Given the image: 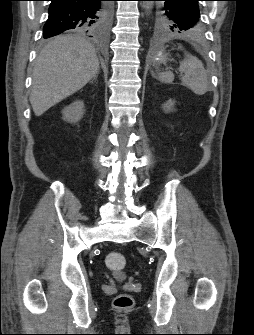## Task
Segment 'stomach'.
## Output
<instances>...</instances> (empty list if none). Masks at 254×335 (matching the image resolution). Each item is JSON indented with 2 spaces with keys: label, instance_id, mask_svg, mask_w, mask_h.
Listing matches in <instances>:
<instances>
[{
  "label": "stomach",
  "instance_id": "obj_1",
  "mask_svg": "<svg viewBox=\"0 0 254 335\" xmlns=\"http://www.w3.org/2000/svg\"><path fill=\"white\" fill-rule=\"evenodd\" d=\"M168 60H169V55L165 53L164 51L159 52L154 58L155 62L161 63V64H166Z\"/></svg>",
  "mask_w": 254,
  "mask_h": 335
}]
</instances>
